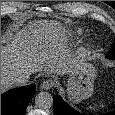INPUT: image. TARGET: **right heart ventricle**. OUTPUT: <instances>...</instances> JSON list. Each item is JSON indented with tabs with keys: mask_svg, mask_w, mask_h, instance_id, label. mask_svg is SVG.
Wrapping results in <instances>:
<instances>
[{
	"mask_svg": "<svg viewBox=\"0 0 115 115\" xmlns=\"http://www.w3.org/2000/svg\"><path fill=\"white\" fill-rule=\"evenodd\" d=\"M76 33H77V34H81V31H80V30H77Z\"/></svg>",
	"mask_w": 115,
	"mask_h": 115,
	"instance_id": "e07e8e85",
	"label": "right heart ventricle"
}]
</instances>
